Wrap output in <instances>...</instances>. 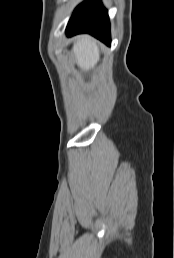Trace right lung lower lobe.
I'll return each mask as SVG.
<instances>
[{
    "instance_id": "obj_1",
    "label": "right lung lower lobe",
    "mask_w": 174,
    "mask_h": 258,
    "mask_svg": "<svg viewBox=\"0 0 174 258\" xmlns=\"http://www.w3.org/2000/svg\"><path fill=\"white\" fill-rule=\"evenodd\" d=\"M67 35L89 33L110 45V23L107 10L100 0H86L74 11L67 29Z\"/></svg>"
}]
</instances>
